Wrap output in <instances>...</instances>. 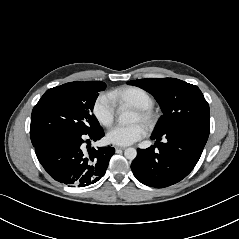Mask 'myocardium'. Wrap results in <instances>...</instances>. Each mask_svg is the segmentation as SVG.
<instances>
[{"label":"myocardium","instance_id":"f54148a6","mask_svg":"<svg viewBox=\"0 0 239 239\" xmlns=\"http://www.w3.org/2000/svg\"><path fill=\"white\" fill-rule=\"evenodd\" d=\"M135 111L143 118L147 129H152L157 123V115L151 108H135Z\"/></svg>","mask_w":239,"mask_h":239}]
</instances>
